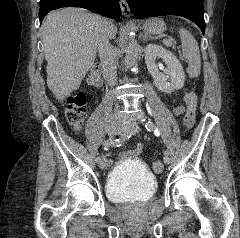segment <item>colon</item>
Here are the masks:
<instances>
[{
    "label": "colon",
    "instance_id": "obj_1",
    "mask_svg": "<svg viewBox=\"0 0 240 238\" xmlns=\"http://www.w3.org/2000/svg\"><path fill=\"white\" fill-rule=\"evenodd\" d=\"M89 82L98 86L101 83V71L99 68L91 70L88 76ZM186 113L184 115V125L187 129H191L196 119L197 96L194 92H188L185 96ZM86 118V96L83 92H77L67 99L66 119L69 125L75 130L83 127ZM152 169L156 174H160L164 170L161 162L157 161L152 165Z\"/></svg>",
    "mask_w": 240,
    "mask_h": 238
}]
</instances>
